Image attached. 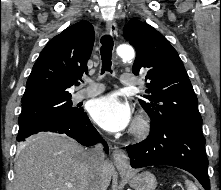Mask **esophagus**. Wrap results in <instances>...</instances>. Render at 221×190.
Listing matches in <instances>:
<instances>
[{
    "label": "esophagus",
    "instance_id": "34e87169",
    "mask_svg": "<svg viewBox=\"0 0 221 190\" xmlns=\"http://www.w3.org/2000/svg\"><path fill=\"white\" fill-rule=\"evenodd\" d=\"M106 29L110 35L117 36L118 29L114 21H111V20L107 21ZM112 159L116 168L119 171L125 172L129 170L130 164H129L128 156L125 154V152L122 149H120L117 146L113 148Z\"/></svg>",
    "mask_w": 221,
    "mask_h": 190
}]
</instances>
